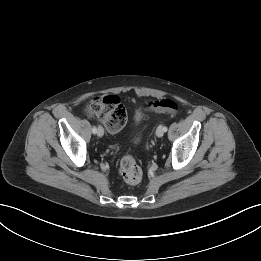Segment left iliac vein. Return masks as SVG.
<instances>
[{
  "mask_svg": "<svg viewBox=\"0 0 261 261\" xmlns=\"http://www.w3.org/2000/svg\"><path fill=\"white\" fill-rule=\"evenodd\" d=\"M164 127L163 126H158V128H157V130H156V135L158 136V137H162L163 135H164Z\"/></svg>",
  "mask_w": 261,
  "mask_h": 261,
  "instance_id": "1",
  "label": "left iliac vein"
}]
</instances>
